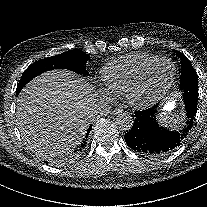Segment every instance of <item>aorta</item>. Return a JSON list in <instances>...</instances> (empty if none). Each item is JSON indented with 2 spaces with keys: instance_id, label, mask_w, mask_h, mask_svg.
<instances>
[{
  "instance_id": "1",
  "label": "aorta",
  "mask_w": 207,
  "mask_h": 207,
  "mask_svg": "<svg viewBox=\"0 0 207 207\" xmlns=\"http://www.w3.org/2000/svg\"><path fill=\"white\" fill-rule=\"evenodd\" d=\"M134 124L133 117L128 113H119L116 117V125L122 131H129Z\"/></svg>"
}]
</instances>
